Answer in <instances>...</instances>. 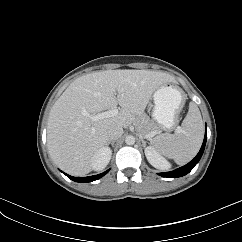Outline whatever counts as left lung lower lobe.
<instances>
[{
	"label": "left lung lower lobe",
	"mask_w": 242,
	"mask_h": 242,
	"mask_svg": "<svg viewBox=\"0 0 242 242\" xmlns=\"http://www.w3.org/2000/svg\"><path fill=\"white\" fill-rule=\"evenodd\" d=\"M206 139H207V132L205 134L204 141H203V144L201 146L199 153L196 155V157L192 161H190L185 166L180 167L174 171L159 173V175L162 177L177 178V177H181V176L188 174L193 169V167L199 162V160L204 152Z\"/></svg>",
	"instance_id": "left-lung-lower-lobe-1"
}]
</instances>
